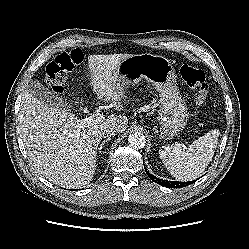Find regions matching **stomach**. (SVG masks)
<instances>
[{
    "label": "stomach",
    "mask_w": 249,
    "mask_h": 249,
    "mask_svg": "<svg viewBox=\"0 0 249 249\" xmlns=\"http://www.w3.org/2000/svg\"><path fill=\"white\" fill-rule=\"evenodd\" d=\"M116 73L127 87L145 79L159 92L161 105L158 124L161 138L172 139L184 129L189 113L169 59L150 53L131 55L118 64Z\"/></svg>",
    "instance_id": "1"
}]
</instances>
